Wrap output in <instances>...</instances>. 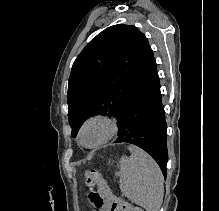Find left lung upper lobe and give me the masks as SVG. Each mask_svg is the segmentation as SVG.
<instances>
[{
	"instance_id": "left-lung-upper-lobe-1",
	"label": "left lung upper lobe",
	"mask_w": 219,
	"mask_h": 211,
	"mask_svg": "<svg viewBox=\"0 0 219 211\" xmlns=\"http://www.w3.org/2000/svg\"><path fill=\"white\" fill-rule=\"evenodd\" d=\"M157 71L148 40L136 27L113 25L94 37L73 63L67 94L72 136L95 115L117 118Z\"/></svg>"
}]
</instances>
